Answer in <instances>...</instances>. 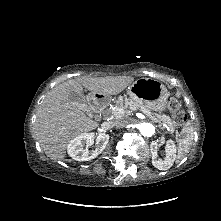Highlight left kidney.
Wrapping results in <instances>:
<instances>
[{
  "instance_id": "obj_1",
  "label": "left kidney",
  "mask_w": 221,
  "mask_h": 221,
  "mask_svg": "<svg viewBox=\"0 0 221 221\" xmlns=\"http://www.w3.org/2000/svg\"><path fill=\"white\" fill-rule=\"evenodd\" d=\"M152 164L159 170H167L172 167L176 159V146L172 140H168L165 145L166 157L164 160L157 159V143H151Z\"/></svg>"
}]
</instances>
